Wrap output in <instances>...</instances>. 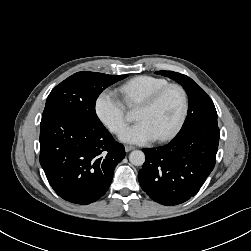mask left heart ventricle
<instances>
[{
  "mask_svg": "<svg viewBox=\"0 0 251 251\" xmlns=\"http://www.w3.org/2000/svg\"><path fill=\"white\" fill-rule=\"evenodd\" d=\"M182 107L180 93L169 90L162 99L153 107L145 108L139 106L135 119L146 121L153 130L156 137L166 133L176 123Z\"/></svg>",
  "mask_w": 251,
  "mask_h": 251,
  "instance_id": "left-heart-ventricle-1",
  "label": "left heart ventricle"
}]
</instances>
